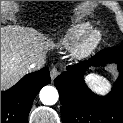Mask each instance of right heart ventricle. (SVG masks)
<instances>
[{
    "label": "right heart ventricle",
    "mask_w": 123,
    "mask_h": 123,
    "mask_svg": "<svg viewBox=\"0 0 123 123\" xmlns=\"http://www.w3.org/2000/svg\"><path fill=\"white\" fill-rule=\"evenodd\" d=\"M92 27L88 21H77L59 31L56 40L63 46H69L79 40Z\"/></svg>",
    "instance_id": "obj_1"
}]
</instances>
